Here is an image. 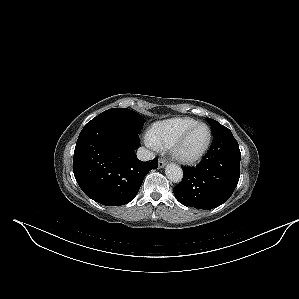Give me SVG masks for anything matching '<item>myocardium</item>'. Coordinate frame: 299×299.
I'll return each instance as SVG.
<instances>
[{"label": "myocardium", "instance_id": "f54148a6", "mask_svg": "<svg viewBox=\"0 0 299 299\" xmlns=\"http://www.w3.org/2000/svg\"><path fill=\"white\" fill-rule=\"evenodd\" d=\"M198 126L206 127L208 131L207 141L204 144V146L195 154H191V155L185 154L182 150L183 145L186 139L188 138V136L190 135V133ZM211 142H212V130L209 127V125L203 122H197L192 126H190L188 129H186L171 145L170 147L171 155L173 156L174 159H176L180 163L191 164L200 160L207 153L208 149L210 148Z\"/></svg>", "mask_w": 299, "mask_h": 299}]
</instances>
